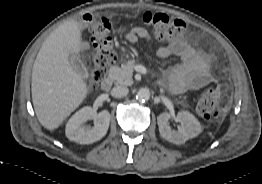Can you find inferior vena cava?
<instances>
[{"mask_svg": "<svg viewBox=\"0 0 262 184\" xmlns=\"http://www.w3.org/2000/svg\"><path fill=\"white\" fill-rule=\"evenodd\" d=\"M129 90L124 86H117L111 90V95L116 98L124 97L128 94Z\"/></svg>", "mask_w": 262, "mask_h": 184, "instance_id": "inferior-vena-cava-1", "label": "inferior vena cava"}]
</instances>
